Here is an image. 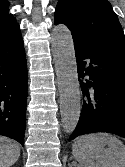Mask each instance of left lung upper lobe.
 Masks as SVG:
<instances>
[{
    "label": "left lung upper lobe",
    "instance_id": "obj_1",
    "mask_svg": "<svg viewBox=\"0 0 125 167\" xmlns=\"http://www.w3.org/2000/svg\"><path fill=\"white\" fill-rule=\"evenodd\" d=\"M55 23L65 24L73 40L84 43L109 39L125 47V36L108 0H59Z\"/></svg>",
    "mask_w": 125,
    "mask_h": 167
}]
</instances>
